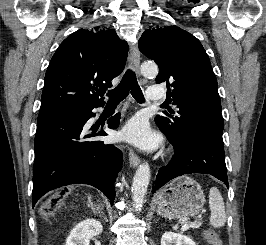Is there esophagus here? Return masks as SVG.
<instances>
[{
	"mask_svg": "<svg viewBox=\"0 0 266 245\" xmlns=\"http://www.w3.org/2000/svg\"><path fill=\"white\" fill-rule=\"evenodd\" d=\"M129 62L131 68L138 71L140 66V52L136 45H130L129 49ZM129 163L132 167H137L140 163V157L133 151L129 152Z\"/></svg>",
	"mask_w": 266,
	"mask_h": 245,
	"instance_id": "esophagus-1",
	"label": "esophagus"
}]
</instances>
